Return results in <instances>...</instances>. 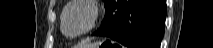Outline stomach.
<instances>
[{"mask_svg":"<svg viewBox=\"0 0 213 48\" xmlns=\"http://www.w3.org/2000/svg\"><path fill=\"white\" fill-rule=\"evenodd\" d=\"M106 41H104L105 43ZM103 45V43H94V44H91L90 46H85L84 48H100L101 46Z\"/></svg>","mask_w":213,"mask_h":48,"instance_id":"1","label":"stomach"}]
</instances>
